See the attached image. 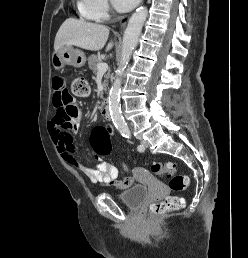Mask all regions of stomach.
<instances>
[{"instance_id": "0dacf381", "label": "stomach", "mask_w": 248, "mask_h": 258, "mask_svg": "<svg viewBox=\"0 0 248 258\" xmlns=\"http://www.w3.org/2000/svg\"><path fill=\"white\" fill-rule=\"evenodd\" d=\"M86 56L72 45H66L55 52L52 56V65L56 70H61L65 65H70L75 68H80L85 65Z\"/></svg>"}]
</instances>
